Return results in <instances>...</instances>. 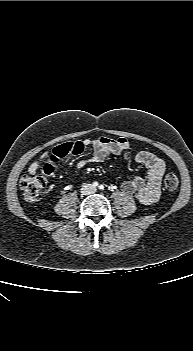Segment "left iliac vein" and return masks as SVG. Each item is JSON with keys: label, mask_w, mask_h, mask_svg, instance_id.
Segmentation results:
<instances>
[{"label": "left iliac vein", "mask_w": 193, "mask_h": 351, "mask_svg": "<svg viewBox=\"0 0 193 351\" xmlns=\"http://www.w3.org/2000/svg\"><path fill=\"white\" fill-rule=\"evenodd\" d=\"M92 191H93V192H96V189H93Z\"/></svg>", "instance_id": "4c4485c4"}]
</instances>
